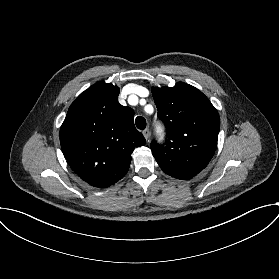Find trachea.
Returning <instances> with one entry per match:
<instances>
[{
	"instance_id": "trachea-1",
	"label": "trachea",
	"mask_w": 279,
	"mask_h": 279,
	"mask_svg": "<svg viewBox=\"0 0 279 279\" xmlns=\"http://www.w3.org/2000/svg\"><path fill=\"white\" fill-rule=\"evenodd\" d=\"M136 126L140 130H144L146 128V120L145 118L138 116L135 120Z\"/></svg>"
}]
</instances>
